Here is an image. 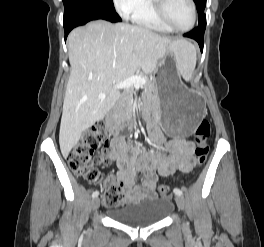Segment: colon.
<instances>
[{
	"mask_svg": "<svg viewBox=\"0 0 264 247\" xmlns=\"http://www.w3.org/2000/svg\"><path fill=\"white\" fill-rule=\"evenodd\" d=\"M210 132V123L205 119L200 121L194 133L195 156L198 165H203L207 159ZM106 141L107 134L105 129L97 127L82 137L80 142L69 153L67 162L73 173L86 181L90 183L104 182V205L107 207H117L122 203L121 189L115 180L105 179L98 168L103 162L101 154ZM157 192L161 197H167L170 194V190L166 185H160L157 188Z\"/></svg>",
	"mask_w": 264,
	"mask_h": 247,
	"instance_id": "colon-1",
	"label": "colon"
}]
</instances>
